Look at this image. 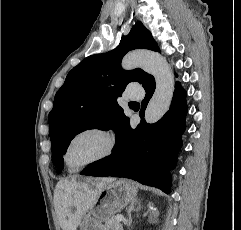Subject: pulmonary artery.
<instances>
[{
	"label": "pulmonary artery",
	"mask_w": 241,
	"mask_h": 230,
	"mask_svg": "<svg viewBox=\"0 0 241 230\" xmlns=\"http://www.w3.org/2000/svg\"><path fill=\"white\" fill-rule=\"evenodd\" d=\"M126 97L128 100H138L142 97L143 95V90L142 88L137 85V84H130L127 87V91H126Z\"/></svg>",
	"instance_id": "1"
}]
</instances>
